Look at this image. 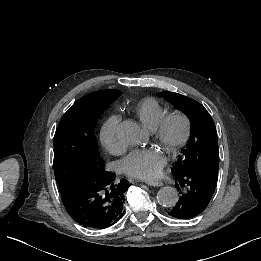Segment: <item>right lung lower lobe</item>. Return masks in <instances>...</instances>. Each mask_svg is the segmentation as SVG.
I'll list each match as a JSON object with an SVG mask.
<instances>
[{
	"mask_svg": "<svg viewBox=\"0 0 261 261\" xmlns=\"http://www.w3.org/2000/svg\"><path fill=\"white\" fill-rule=\"evenodd\" d=\"M130 184L115 183V174L106 171L95 176L81 172L60 189L64 207L82 226L104 229L114 225L124 213V193Z\"/></svg>",
	"mask_w": 261,
	"mask_h": 261,
	"instance_id": "right-lung-lower-lobe-1",
	"label": "right lung lower lobe"
}]
</instances>
